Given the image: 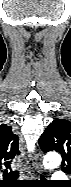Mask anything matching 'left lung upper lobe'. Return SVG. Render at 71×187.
I'll list each match as a JSON object with an SVG mask.
<instances>
[{"label": "left lung upper lobe", "mask_w": 71, "mask_h": 187, "mask_svg": "<svg viewBox=\"0 0 71 187\" xmlns=\"http://www.w3.org/2000/svg\"><path fill=\"white\" fill-rule=\"evenodd\" d=\"M43 152L57 151L61 154L62 170L71 172V122L65 119H56L46 128L39 139Z\"/></svg>", "instance_id": "obj_1"}]
</instances>
